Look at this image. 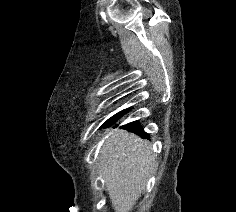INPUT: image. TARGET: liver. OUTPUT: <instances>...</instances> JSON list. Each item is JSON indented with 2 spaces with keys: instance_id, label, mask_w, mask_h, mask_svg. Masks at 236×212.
<instances>
[{
  "instance_id": "1",
  "label": "liver",
  "mask_w": 236,
  "mask_h": 212,
  "mask_svg": "<svg viewBox=\"0 0 236 212\" xmlns=\"http://www.w3.org/2000/svg\"><path fill=\"white\" fill-rule=\"evenodd\" d=\"M154 155L148 141L124 130L110 133L99 154L100 179L115 212H129L150 177Z\"/></svg>"
}]
</instances>
